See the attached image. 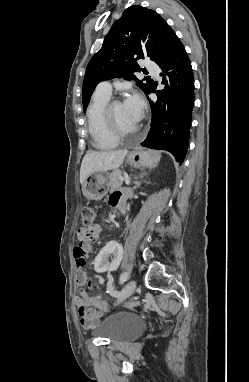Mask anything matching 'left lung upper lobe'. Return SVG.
<instances>
[{
	"instance_id": "obj_1",
	"label": "left lung upper lobe",
	"mask_w": 249,
	"mask_h": 382,
	"mask_svg": "<svg viewBox=\"0 0 249 382\" xmlns=\"http://www.w3.org/2000/svg\"><path fill=\"white\" fill-rule=\"evenodd\" d=\"M176 37L157 12L139 5L127 8L114 22L102 48L87 66L82 90L84 111L99 82L115 77L136 78L133 73L141 70L137 59L149 56L158 63L166 57ZM139 83L145 93L153 87L152 81Z\"/></svg>"
}]
</instances>
